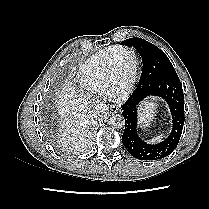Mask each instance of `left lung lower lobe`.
Returning <instances> with one entry per match:
<instances>
[{"instance_id":"left-lung-lower-lobe-1","label":"left lung lower lobe","mask_w":209,"mask_h":209,"mask_svg":"<svg viewBox=\"0 0 209 209\" xmlns=\"http://www.w3.org/2000/svg\"><path fill=\"white\" fill-rule=\"evenodd\" d=\"M148 96L164 99L172 116V131L169 136L157 144H148L137 131L138 105ZM125 129L122 143L127 151L139 160H158L170 155L177 147L184 125V95L177 74H169L157 79L149 86H137L122 106Z\"/></svg>"}]
</instances>
